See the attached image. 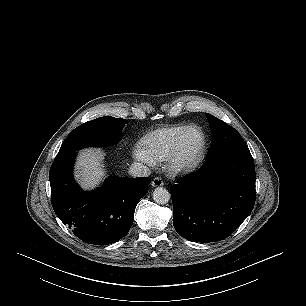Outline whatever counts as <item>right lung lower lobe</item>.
I'll use <instances>...</instances> for the list:
<instances>
[{"instance_id":"1","label":"right lung lower lobe","mask_w":306,"mask_h":306,"mask_svg":"<svg viewBox=\"0 0 306 306\" xmlns=\"http://www.w3.org/2000/svg\"><path fill=\"white\" fill-rule=\"evenodd\" d=\"M76 152L54 160L49 172L56 215L88 244L108 245L129 231L135 208L148 192L150 178L110 177L91 192L80 189L72 175Z\"/></svg>"}]
</instances>
